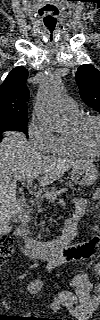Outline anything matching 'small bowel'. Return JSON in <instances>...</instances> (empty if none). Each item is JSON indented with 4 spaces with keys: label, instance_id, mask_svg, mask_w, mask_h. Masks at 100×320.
Returning <instances> with one entry per match:
<instances>
[{
    "label": "small bowel",
    "instance_id": "obj_1",
    "mask_svg": "<svg viewBox=\"0 0 100 320\" xmlns=\"http://www.w3.org/2000/svg\"><path fill=\"white\" fill-rule=\"evenodd\" d=\"M98 198V194L93 196V200ZM89 203V198H77L75 200L76 213L79 217H82L87 213ZM85 243L73 247L72 251L76 253L86 251L87 247ZM95 271L100 275V264L95 266ZM41 286V280L36 278L27 284L26 289L30 293L35 294L39 292ZM69 288L73 290V293L69 290H61L53 296V300L50 303V309L53 312L65 309L69 314L75 317L76 320H88L100 303V292L91 280L90 274L88 272H82L75 276L70 281ZM2 306L5 310H9V305L6 302H2Z\"/></svg>",
    "mask_w": 100,
    "mask_h": 320
}]
</instances>
